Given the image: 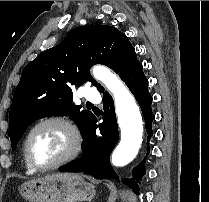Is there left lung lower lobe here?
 <instances>
[{"label": "left lung lower lobe", "instance_id": "0a47b994", "mask_svg": "<svg viewBox=\"0 0 209 202\" xmlns=\"http://www.w3.org/2000/svg\"><path fill=\"white\" fill-rule=\"evenodd\" d=\"M135 96L142 114L145 118L146 131L149 134L147 138V155L149 154V140L153 134L152 121L154 115L151 109L152 96L148 92V80L143 73V66L138 64L129 71L122 79ZM103 122L96 125L97 118L94 117L90 122L82 143L84 156L77 161L65 165L59 169L60 172H84L99 179L119 180L110 164V154L116 146L119 138L117 120L114 109V102L108 92L103 94ZM99 127L100 134L96 135V129ZM146 157L133 169V178L122 179V183L129 186L133 191L139 194V186L142 176L145 174Z\"/></svg>", "mask_w": 209, "mask_h": 202}]
</instances>
